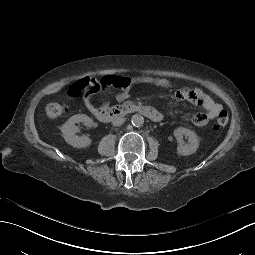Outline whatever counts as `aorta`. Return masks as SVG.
<instances>
[{"mask_svg": "<svg viewBox=\"0 0 255 255\" xmlns=\"http://www.w3.org/2000/svg\"><path fill=\"white\" fill-rule=\"evenodd\" d=\"M131 123L135 127H141L144 124V118L140 114H135L131 118Z\"/></svg>", "mask_w": 255, "mask_h": 255, "instance_id": "1", "label": "aorta"}]
</instances>
